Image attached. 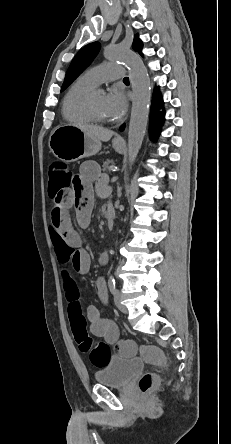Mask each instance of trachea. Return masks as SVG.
I'll use <instances>...</instances> for the list:
<instances>
[{
    "label": "trachea",
    "mask_w": 231,
    "mask_h": 444,
    "mask_svg": "<svg viewBox=\"0 0 231 444\" xmlns=\"http://www.w3.org/2000/svg\"><path fill=\"white\" fill-rule=\"evenodd\" d=\"M124 81H129V78H128V77H125V78H124Z\"/></svg>",
    "instance_id": "trachea-1"
}]
</instances>
